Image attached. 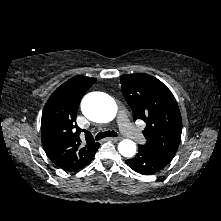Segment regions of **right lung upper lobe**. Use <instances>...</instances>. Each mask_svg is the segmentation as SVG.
<instances>
[{
    "label": "right lung upper lobe",
    "mask_w": 221,
    "mask_h": 221,
    "mask_svg": "<svg viewBox=\"0 0 221 221\" xmlns=\"http://www.w3.org/2000/svg\"><path fill=\"white\" fill-rule=\"evenodd\" d=\"M95 81V78L74 76L53 92L44 107L41 119L42 144L49 159L65 171L86 166L100 146L87 138L88 131L76 124L80 101ZM82 131L85 132L86 142L80 139Z\"/></svg>",
    "instance_id": "cb5924a9"
}]
</instances>
